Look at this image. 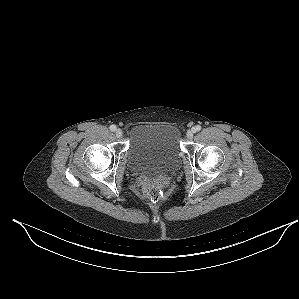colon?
<instances>
[{"label":"colon","mask_w":299,"mask_h":299,"mask_svg":"<svg viewBox=\"0 0 299 299\" xmlns=\"http://www.w3.org/2000/svg\"><path fill=\"white\" fill-rule=\"evenodd\" d=\"M164 186L158 182H150L147 186L146 193L152 203H156L163 196Z\"/></svg>","instance_id":"1"}]
</instances>
